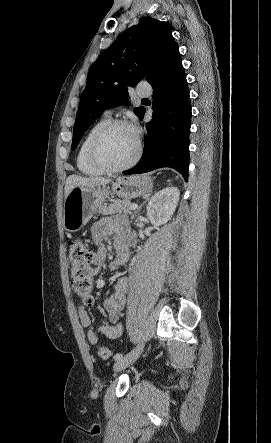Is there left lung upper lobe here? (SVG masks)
Wrapping results in <instances>:
<instances>
[{"label": "left lung upper lobe", "mask_w": 271, "mask_h": 443, "mask_svg": "<svg viewBox=\"0 0 271 443\" xmlns=\"http://www.w3.org/2000/svg\"><path fill=\"white\" fill-rule=\"evenodd\" d=\"M175 47L170 26L154 18H144L124 31L89 70L76 114L72 150L103 111L129 105L127 87H134L145 76L148 79ZM143 109H134L138 117Z\"/></svg>", "instance_id": "1"}]
</instances>
